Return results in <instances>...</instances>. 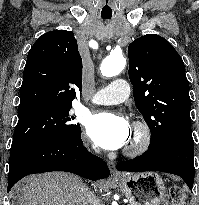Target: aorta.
<instances>
[{
	"label": "aorta",
	"mask_w": 199,
	"mask_h": 205,
	"mask_svg": "<svg viewBox=\"0 0 199 205\" xmlns=\"http://www.w3.org/2000/svg\"><path fill=\"white\" fill-rule=\"evenodd\" d=\"M125 65L126 59L122 54H111L102 61L100 70L103 76L113 77L121 73Z\"/></svg>",
	"instance_id": "1"
}]
</instances>
